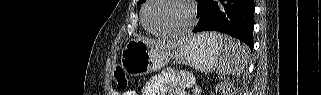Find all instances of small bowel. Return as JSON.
Instances as JSON below:
<instances>
[{
	"label": "small bowel",
	"instance_id": "obj_1",
	"mask_svg": "<svg viewBox=\"0 0 321 95\" xmlns=\"http://www.w3.org/2000/svg\"><path fill=\"white\" fill-rule=\"evenodd\" d=\"M144 95H160L161 93H157L154 91V83H149L144 90ZM124 95H136L134 92H126Z\"/></svg>",
	"mask_w": 321,
	"mask_h": 95
}]
</instances>
